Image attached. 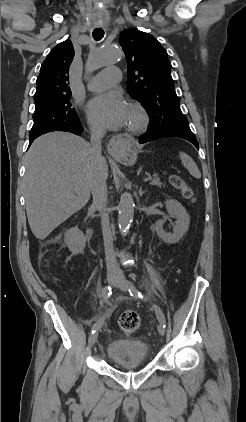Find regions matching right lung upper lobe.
I'll use <instances>...</instances> for the list:
<instances>
[{"label":"right lung upper lobe","instance_id":"obj_1","mask_svg":"<svg viewBox=\"0 0 246 422\" xmlns=\"http://www.w3.org/2000/svg\"><path fill=\"white\" fill-rule=\"evenodd\" d=\"M73 58L74 49L70 40L59 43L51 50L41 65L36 81L37 89L34 95L36 108L48 105L59 98L71 96L68 72Z\"/></svg>","mask_w":246,"mask_h":422}]
</instances>
